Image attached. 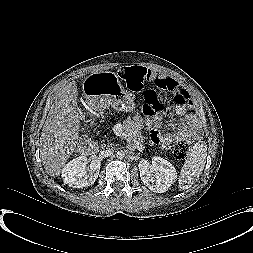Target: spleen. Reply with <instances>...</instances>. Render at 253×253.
I'll list each match as a JSON object with an SVG mask.
<instances>
[{"label":"spleen","mask_w":253,"mask_h":253,"mask_svg":"<svg viewBox=\"0 0 253 253\" xmlns=\"http://www.w3.org/2000/svg\"><path fill=\"white\" fill-rule=\"evenodd\" d=\"M206 157L207 145L205 142L196 143L181 169L179 176L180 190L187 189L201 175L206 163Z\"/></svg>","instance_id":"1"}]
</instances>
